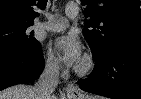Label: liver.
<instances>
[{
  "mask_svg": "<svg viewBox=\"0 0 141 99\" xmlns=\"http://www.w3.org/2000/svg\"><path fill=\"white\" fill-rule=\"evenodd\" d=\"M0 99H40L33 86L18 84L0 91ZM51 99H57L52 96Z\"/></svg>",
  "mask_w": 141,
  "mask_h": 99,
  "instance_id": "1",
  "label": "liver"
}]
</instances>
